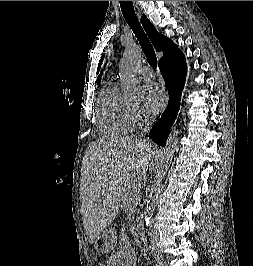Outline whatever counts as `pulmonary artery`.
I'll use <instances>...</instances> for the list:
<instances>
[{
  "label": "pulmonary artery",
  "mask_w": 253,
  "mask_h": 266,
  "mask_svg": "<svg viewBox=\"0 0 253 266\" xmlns=\"http://www.w3.org/2000/svg\"><path fill=\"white\" fill-rule=\"evenodd\" d=\"M138 74L140 78L149 81L154 77L153 70L150 67H142L139 69Z\"/></svg>",
  "instance_id": "obj_1"
}]
</instances>
